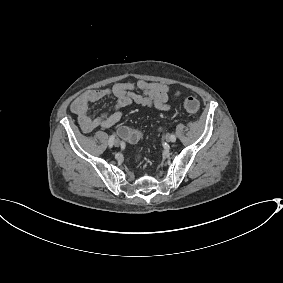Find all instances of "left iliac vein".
I'll list each match as a JSON object with an SVG mask.
<instances>
[{"mask_svg":"<svg viewBox=\"0 0 283 283\" xmlns=\"http://www.w3.org/2000/svg\"><path fill=\"white\" fill-rule=\"evenodd\" d=\"M166 142H171V135L169 133H167L164 137Z\"/></svg>","mask_w":283,"mask_h":283,"instance_id":"obj_1","label":"left iliac vein"}]
</instances>
